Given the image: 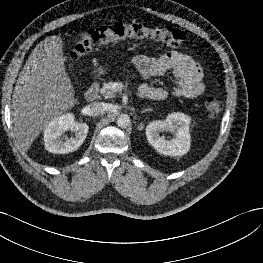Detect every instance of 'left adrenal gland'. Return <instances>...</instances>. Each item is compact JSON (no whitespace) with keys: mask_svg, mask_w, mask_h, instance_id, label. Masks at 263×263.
Wrapping results in <instances>:
<instances>
[{"mask_svg":"<svg viewBox=\"0 0 263 263\" xmlns=\"http://www.w3.org/2000/svg\"><path fill=\"white\" fill-rule=\"evenodd\" d=\"M146 111H151V109H145L143 112H146Z\"/></svg>","mask_w":263,"mask_h":263,"instance_id":"1","label":"left adrenal gland"}]
</instances>
